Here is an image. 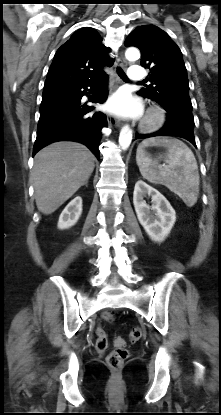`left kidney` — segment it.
<instances>
[{
  "mask_svg": "<svg viewBox=\"0 0 221 415\" xmlns=\"http://www.w3.org/2000/svg\"><path fill=\"white\" fill-rule=\"evenodd\" d=\"M151 196L152 206L143 200ZM133 204L140 224L150 239L163 242L170 233L176 221V213L168 200L155 188L139 180L135 184Z\"/></svg>",
  "mask_w": 221,
  "mask_h": 415,
  "instance_id": "1",
  "label": "left kidney"
}]
</instances>
